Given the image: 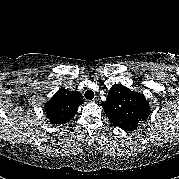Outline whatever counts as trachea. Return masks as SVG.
I'll return each instance as SVG.
<instances>
[{"label": "trachea", "instance_id": "1", "mask_svg": "<svg viewBox=\"0 0 179 179\" xmlns=\"http://www.w3.org/2000/svg\"><path fill=\"white\" fill-rule=\"evenodd\" d=\"M84 96L87 100H92L94 98V92L92 90H87Z\"/></svg>", "mask_w": 179, "mask_h": 179}]
</instances>
